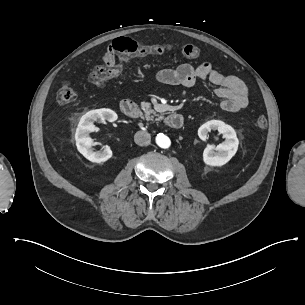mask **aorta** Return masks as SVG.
<instances>
[{"label": "aorta", "instance_id": "762f6f07", "mask_svg": "<svg viewBox=\"0 0 305 305\" xmlns=\"http://www.w3.org/2000/svg\"><path fill=\"white\" fill-rule=\"evenodd\" d=\"M156 143L159 147L164 148V149L169 148L171 145V141H170L169 137H167L164 134H158L156 136Z\"/></svg>", "mask_w": 305, "mask_h": 305}]
</instances>
